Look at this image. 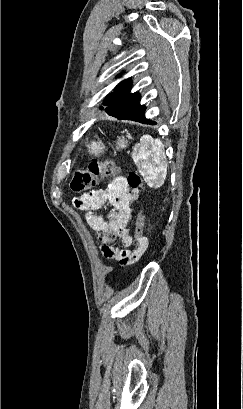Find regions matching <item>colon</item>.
Instances as JSON below:
<instances>
[{
    "label": "colon",
    "instance_id": "colon-1",
    "mask_svg": "<svg viewBox=\"0 0 243 409\" xmlns=\"http://www.w3.org/2000/svg\"><path fill=\"white\" fill-rule=\"evenodd\" d=\"M118 173L119 168L113 161L93 160L86 169H80L74 173L70 187L74 192H85L91 190L100 180L116 177ZM126 181L131 189L142 188V178L137 172H130ZM144 223L143 213L140 212L135 225V249L140 248L146 238L144 236Z\"/></svg>",
    "mask_w": 243,
    "mask_h": 409
}]
</instances>
